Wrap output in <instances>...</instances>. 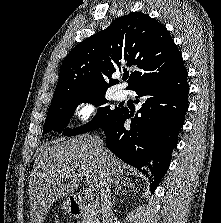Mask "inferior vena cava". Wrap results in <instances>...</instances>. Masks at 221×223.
Returning <instances> with one entry per match:
<instances>
[{
	"mask_svg": "<svg viewBox=\"0 0 221 223\" xmlns=\"http://www.w3.org/2000/svg\"><path fill=\"white\" fill-rule=\"evenodd\" d=\"M97 147L103 153L104 142L100 137H96ZM101 221L102 223H112V203H111V180L106 173L102 175L101 189Z\"/></svg>",
	"mask_w": 221,
	"mask_h": 223,
	"instance_id": "1",
	"label": "inferior vena cava"
}]
</instances>
